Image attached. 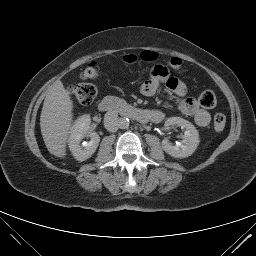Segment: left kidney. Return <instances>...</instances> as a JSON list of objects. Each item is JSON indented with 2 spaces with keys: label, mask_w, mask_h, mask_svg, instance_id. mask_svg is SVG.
Segmentation results:
<instances>
[{
  "label": "left kidney",
  "mask_w": 256,
  "mask_h": 256,
  "mask_svg": "<svg viewBox=\"0 0 256 256\" xmlns=\"http://www.w3.org/2000/svg\"><path fill=\"white\" fill-rule=\"evenodd\" d=\"M178 125L184 128L183 140L178 145H173L169 140L162 141L163 150L174 158H186L191 156L199 145V134L195 126L181 117H170L165 121V127Z\"/></svg>",
  "instance_id": "5707ae66"
}]
</instances>
